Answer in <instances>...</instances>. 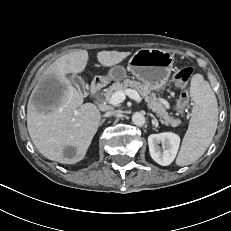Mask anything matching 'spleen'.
I'll list each match as a JSON object with an SVG mask.
<instances>
[{
	"instance_id": "obj_1",
	"label": "spleen",
	"mask_w": 231,
	"mask_h": 231,
	"mask_svg": "<svg viewBox=\"0 0 231 231\" xmlns=\"http://www.w3.org/2000/svg\"><path fill=\"white\" fill-rule=\"evenodd\" d=\"M190 95L194 102L189 128L176 158L178 166L190 165L207 150L218 124V104L209 83L202 75L191 79Z\"/></svg>"
}]
</instances>
